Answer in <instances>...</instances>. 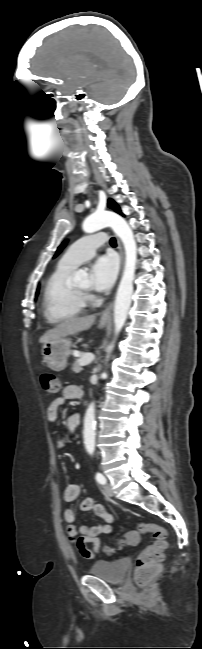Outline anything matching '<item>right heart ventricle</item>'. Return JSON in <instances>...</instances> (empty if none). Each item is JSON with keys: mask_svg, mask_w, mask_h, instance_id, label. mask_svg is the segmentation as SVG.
Returning <instances> with one entry per match:
<instances>
[{"mask_svg": "<svg viewBox=\"0 0 202 649\" xmlns=\"http://www.w3.org/2000/svg\"><path fill=\"white\" fill-rule=\"evenodd\" d=\"M76 267L60 262L48 278L43 293V312L50 323H60L79 315L84 309L74 294L71 276Z\"/></svg>", "mask_w": 202, "mask_h": 649, "instance_id": "e07e8e85", "label": "right heart ventricle"}]
</instances>
